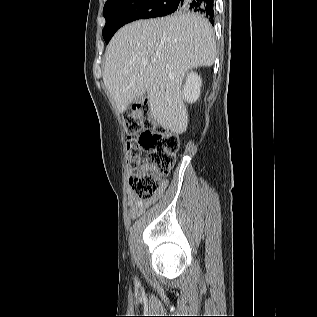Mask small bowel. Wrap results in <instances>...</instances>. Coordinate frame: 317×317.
Wrapping results in <instances>:
<instances>
[{"label":"small bowel","instance_id":"obj_1","mask_svg":"<svg viewBox=\"0 0 317 317\" xmlns=\"http://www.w3.org/2000/svg\"><path fill=\"white\" fill-rule=\"evenodd\" d=\"M163 186L166 185V182L164 181L162 183ZM152 201H142L139 200L134 195H130L128 197V207H129V215L132 219L140 216L150 205Z\"/></svg>","mask_w":317,"mask_h":317}]
</instances>
